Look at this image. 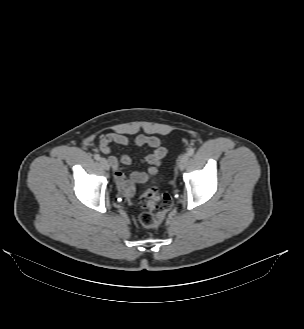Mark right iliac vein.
<instances>
[{
  "label": "right iliac vein",
  "instance_id": "obj_1",
  "mask_svg": "<svg viewBox=\"0 0 304 329\" xmlns=\"http://www.w3.org/2000/svg\"><path fill=\"white\" fill-rule=\"evenodd\" d=\"M100 165L105 169V170H109L110 166L108 161L105 158H101L100 159Z\"/></svg>",
  "mask_w": 304,
  "mask_h": 329
}]
</instances>
